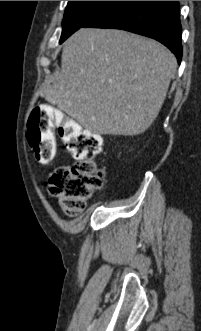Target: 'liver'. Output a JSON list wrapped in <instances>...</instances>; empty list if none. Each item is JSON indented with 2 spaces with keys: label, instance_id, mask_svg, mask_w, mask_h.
<instances>
[{
  "label": "liver",
  "instance_id": "liver-1",
  "mask_svg": "<svg viewBox=\"0 0 201 331\" xmlns=\"http://www.w3.org/2000/svg\"><path fill=\"white\" fill-rule=\"evenodd\" d=\"M177 60L161 43L116 29L81 28L64 43L51 104L97 134L133 136L158 116Z\"/></svg>",
  "mask_w": 201,
  "mask_h": 331
}]
</instances>
